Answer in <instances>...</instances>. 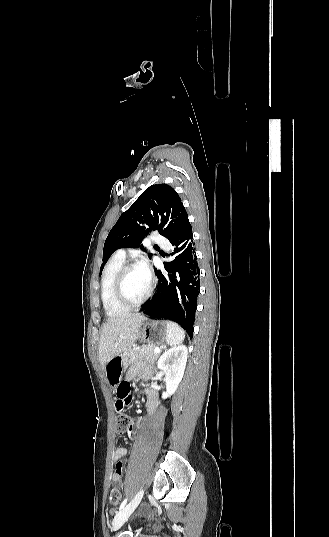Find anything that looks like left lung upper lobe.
I'll list each match as a JSON object with an SVG mask.
<instances>
[{
    "mask_svg": "<svg viewBox=\"0 0 329 537\" xmlns=\"http://www.w3.org/2000/svg\"><path fill=\"white\" fill-rule=\"evenodd\" d=\"M187 212L179 195L169 185L148 187L125 211L108 234L103 249L104 265L119 248L140 247L142 240L154 230L171 241L188 222ZM151 258V254L148 255Z\"/></svg>",
    "mask_w": 329,
    "mask_h": 537,
    "instance_id": "left-lung-upper-lobe-1",
    "label": "left lung upper lobe"
}]
</instances>
